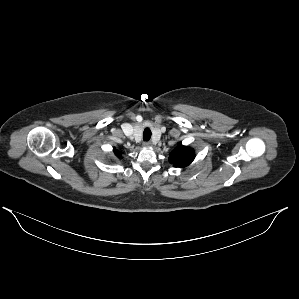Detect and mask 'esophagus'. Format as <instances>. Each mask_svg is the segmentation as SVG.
<instances>
[{"instance_id":"34e87169","label":"esophagus","mask_w":299,"mask_h":299,"mask_svg":"<svg viewBox=\"0 0 299 299\" xmlns=\"http://www.w3.org/2000/svg\"><path fill=\"white\" fill-rule=\"evenodd\" d=\"M143 145H144V147H150V146H152V143L150 141H145L143 143Z\"/></svg>"}]
</instances>
